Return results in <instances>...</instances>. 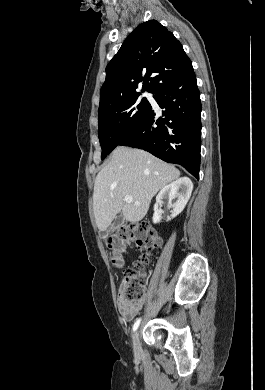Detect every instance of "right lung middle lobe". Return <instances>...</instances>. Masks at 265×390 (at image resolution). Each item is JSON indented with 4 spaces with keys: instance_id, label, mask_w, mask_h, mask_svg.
I'll return each instance as SVG.
<instances>
[{
    "instance_id": "obj_1",
    "label": "right lung middle lobe",
    "mask_w": 265,
    "mask_h": 390,
    "mask_svg": "<svg viewBox=\"0 0 265 390\" xmlns=\"http://www.w3.org/2000/svg\"><path fill=\"white\" fill-rule=\"evenodd\" d=\"M140 94L119 101L98 112V137L103 160L145 117L151 105Z\"/></svg>"
}]
</instances>
